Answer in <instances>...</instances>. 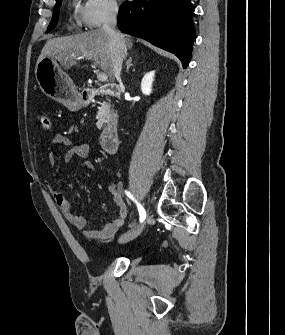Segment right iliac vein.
I'll list each match as a JSON object with an SVG mask.
<instances>
[{"instance_id":"63e3f726","label":"right iliac vein","mask_w":285,"mask_h":335,"mask_svg":"<svg viewBox=\"0 0 285 335\" xmlns=\"http://www.w3.org/2000/svg\"><path fill=\"white\" fill-rule=\"evenodd\" d=\"M142 228H143V225H138L135 228L131 229L129 232H127L126 234L120 237L119 243H127L135 239L142 232Z\"/></svg>"}]
</instances>
